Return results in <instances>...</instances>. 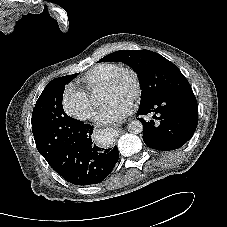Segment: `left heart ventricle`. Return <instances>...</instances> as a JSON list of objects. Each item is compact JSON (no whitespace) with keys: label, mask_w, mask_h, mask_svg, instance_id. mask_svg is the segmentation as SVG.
<instances>
[{"label":"left heart ventricle","mask_w":227,"mask_h":227,"mask_svg":"<svg viewBox=\"0 0 227 227\" xmlns=\"http://www.w3.org/2000/svg\"><path fill=\"white\" fill-rule=\"evenodd\" d=\"M132 94L133 82L129 75H124L114 87L104 88L101 91L104 102L114 99L131 100Z\"/></svg>","instance_id":"obj_1"}]
</instances>
